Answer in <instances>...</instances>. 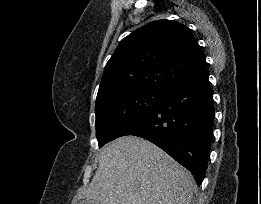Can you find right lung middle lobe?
Returning <instances> with one entry per match:
<instances>
[{
	"instance_id": "1",
	"label": "right lung middle lobe",
	"mask_w": 261,
	"mask_h": 204,
	"mask_svg": "<svg viewBox=\"0 0 261 204\" xmlns=\"http://www.w3.org/2000/svg\"><path fill=\"white\" fill-rule=\"evenodd\" d=\"M164 91L129 89L110 93L95 104L96 137L102 147L121 136L146 115L164 96Z\"/></svg>"
}]
</instances>
